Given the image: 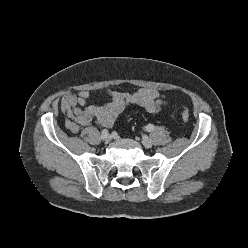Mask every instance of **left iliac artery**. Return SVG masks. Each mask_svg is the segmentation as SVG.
<instances>
[{
  "instance_id": "44dca946",
  "label": "left iliac artery",
  "mask_w": 248,
  "mask_h": 248,
  "mask_svg": "<svg viewBox=\"0 0 248 248\" xmlns=\"http://www.w3.org/2000/svg\"><path fill=\"white\" fill-rule=\"evenodd\" d=\"M154 129H155V126H154L153 124H148V125L146 126V130H147L148 132H152V131H154Z\"/></svg>"
}]
</instances>
